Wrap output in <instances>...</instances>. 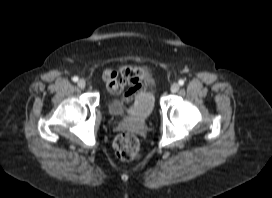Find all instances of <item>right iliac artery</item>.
Returning <instances> with one entry per match:
<instances>
[{
	"label": "right iliac artery",
	"instance_id": "1",
	"mask_svg": "<svg viewBox=\"0 0 272 198\" xmlns=\"http://www.w3.org/2000/svg\"><path fill=\"white\" fill-rule=\"evenodd\" d=\"M72 80H73L74 82H77V81H78V77H77V76H74V77L72 78Z\"/></svg>",
	"mask_w": 272,
	"mask_h": 198
}]
</instances>
